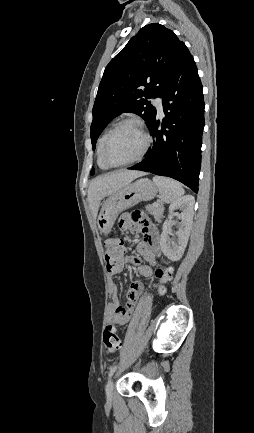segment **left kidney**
I'll return each mask as SVG.
<instances>
[{
	"instance_id": "obj_1",
	"label": "left kidney",
	"mask_w": 254,
	"mask_h": 433,
	"mask_svg": "<svg viewBox=\"0 0 254 433\" xmlns=\"http://www.w3.org/2000/svg\"><path fill=\"white\" fill-rule=\"evenodd\" d=\"M194 203V197L191 195H186L177 199L169 206V216L163 224L160 246L163 254L172 261L180 260L184 254L193 222ZM176 209L182 210L181 223L176 233L178 236L177 244L173 243L168 238V234L172 226V217L174 210Z\"/></svg>"
}]
</instances>
